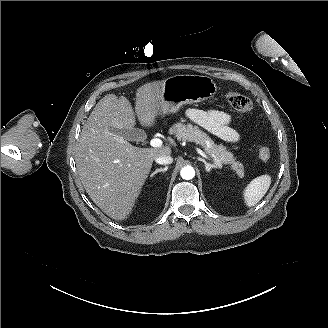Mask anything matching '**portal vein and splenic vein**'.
I'll return each mask as SVG.
<instances>
[{"instance_id":"18ae733b","label":"portal vein and splenic vein","mask_w":328,"mask_h":328,"mask_svg":"<svg viewBox=\"0 0 328 328\" xmlns=\"http://www.w3.org/2000/svg\"><path fill=\"white\" fill-rule=\"evenodd\" d=\"M162 140L159 139V138H153L151 141H150V145L152 147H161L162 146ZM197 151L199 152V154L201 155H204V157H206V159H208V161H211V158H209V155L208 154H205V152H203L200 148H197Z\"/></svg>"}]
</instances>
